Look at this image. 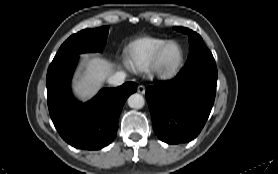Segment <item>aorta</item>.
Masks as SVG:
<instances>
[{
  "label": "aorta",
  "mask_w": 278,
  "mask_h": 174,
  "mask_svg": "<svg viewBox=\"0 0 278 174\" xmlns=\"http://www.w3.org/2000/svg\"><path fill=\"white\" fill-rule=\"evenodd\" d=\"M127 101L129 107L133 109H141L145 105L144 97L138 93L130 95Z\"/></svg>",
  "instance_id": "aorta-1"
}]
</instances>
